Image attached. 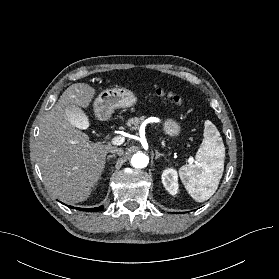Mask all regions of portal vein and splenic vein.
Segmentation results:
<instances>
[{
	"mask_svg": "<svg viewBox=\"0 0 279 279\" xmlns=\"http://www.w3.org/2000/svg\"><path fill=\"white\" fill-rule=\"evenodd\" d=\"M124 141H125V138H124V137H122V136H115L114 138H112L111 143H112L113 145H121V144L124 143ZM188 161H189L190 163H192V162H193V159H192V158H189Z\"/></svg>",
	"mask_w": 279,
	"mask_h": 279,
	"instance_id": "portal-vein-and-splenic-vein-1",
	"label": "portal vein and splenic vein"
}]
</instances>
